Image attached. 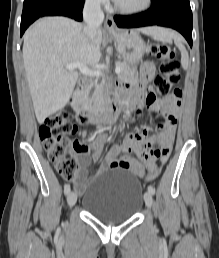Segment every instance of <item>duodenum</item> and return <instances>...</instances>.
I'll return each mask as SVG.
<instances>
[{"label":"duodenum","instance_id":"1","mask_svg":"<svg viewBox=\"0 0 219 258\" xmlns=\"http://www.w3.org/2000/svg\"><path fill=\"white\" fill-rule=\"evenodd\" d=\"M86 85L82 84L76 91L72 104L77 105V118L81 123L105 125L114 122L121 112L122 102L103 100L97 106L86 107L83 101L86 94Z\"/></svg>","mask_w":219,"mask_h":258}]
</instances>
